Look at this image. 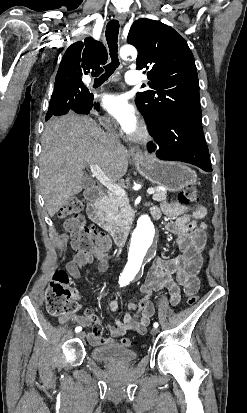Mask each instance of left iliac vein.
Wrapping results in <instances>:
<instances>
[{"label":"left iliac vein","instance_id":"1","mask_svg":"<svg viewBox=\"0 0 247 413\" xmlns=\"http://www.w3.org/2000/svg\"><path fill=\"white\" fill-rule=\"evenodd\" d=\"M159 332V329H157V328H152V330H151V334L152 335H156L157 333Z\"/></svg>","mask_w":247,"mask_h":413}]
</instances>
